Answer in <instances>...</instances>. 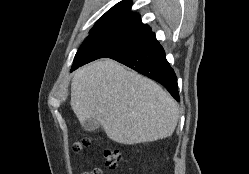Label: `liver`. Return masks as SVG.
Segmentation results:
<instances>
[{"instance_id": "1", "label": "liver", "mask_w": 249, "mask_h": 174, "mask_svg": "<svg viewBox=\"0 0 249 174\" xmlns=\"http://www.w3.org/2000/svg\"><path fill=\"white\" fill-rule=\"evenodd\" d=\"M70 104L81 124L95 118L125 145L165 139L179 119L176 102L157 83L111 59L75 71Z\"/></svg>"}]
</instances>
